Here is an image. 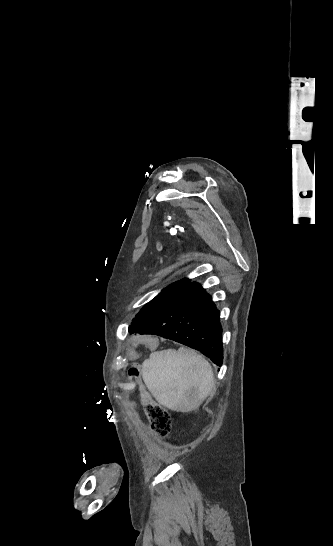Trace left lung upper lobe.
Listing matches in <instances>:
<instances>
[{
	"label": "left lung upper lobe",
	"mask_w": 333,
	"mask_h": 546,
	"mask_svg": "<svg viewBox=\"0 0 333 546\" xmlns=\"http://www.w3.org/2000/svg\"><path fill=\"white\" fill-rule=\"evenodd\" d=\"M189 279H182L163 289L153 300L147 303L134 318L135 324L141 328L156 312L177 299L190 285Z\"/></svg>",
	"instance_id": "5c2ea615"
}]
</instances>
